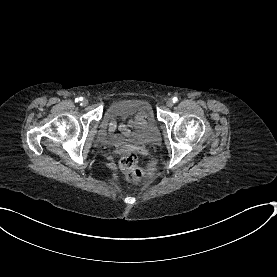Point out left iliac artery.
I'll return each instance as SVG.
<instances>
[{
    "label": "left iliac artery",
    "instance_id": "left-iliac-artery-1",
    "mask_svg": "<svg viewBox=\"0 0 277 277\" xmlns=\"http://www.w3.org/2000/svg\"><path fill=\"white\" fill-rule=\"evenodd\" d=\"M178 101V98L177 97H174L173 98V102L176 103Z\"/></svg>",
    "mask_w": 277,
    "mask_h": 277
}]
</instances>
